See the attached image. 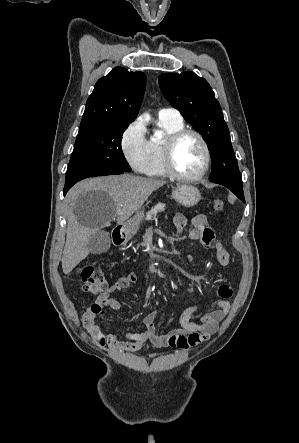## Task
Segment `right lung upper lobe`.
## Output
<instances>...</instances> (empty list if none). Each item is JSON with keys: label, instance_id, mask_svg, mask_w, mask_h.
<instances>
[{"label": "right lung upper lobe", "instance_id": "obj_1", "mask_svg": "<svg viewBox=\"0 0 299 443\" xmlns=\"http://www.w3.org/2000/svg\"><path fill=\"white\" fill-rule=\"evenodd\" d=\"M146 76L115 67L100 78L87 100L79 131L110 123H131L143 99Z\"/></svg>", "mask_w": 299, "mask_h": 443}]
</instances>
